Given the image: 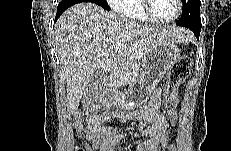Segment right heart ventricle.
I'll list each match as a JSON object with an SVG mask.
<instances>
[{"label": "right heart ventricle", "instance_id": "e07e8e85", "mask_svg": "<svg viewBox=\"0 0 231 151\" xmlns=\"http://www.w3.org/2000/svg\"><path fill=\"white\" fill-rule=\"evenodd\" d=\"M116 11L132 22H152L143 12L142 0H123L117 4Z\"/></svg>", "mask_w": 231, "mask_h": 151}]
</instances>
